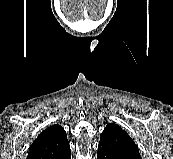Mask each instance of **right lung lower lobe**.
Segmentation results:
<instances>
[{
    "mask_svg": "<svg viewBox=\"0 0 173 159\" xmlns=\"http://www.w3.org/2000/svg\"><path fill=\"white\" fill-rule=\"evenodd\" d=\"M57 159H71V151L68 150L67 152L59 156Z\"/></svg>",
    "mask_w": 173,
    "mask_h": 159,
    "instance_id": "1",
    "label": "right lung lower lobe"
}]
</instances>
